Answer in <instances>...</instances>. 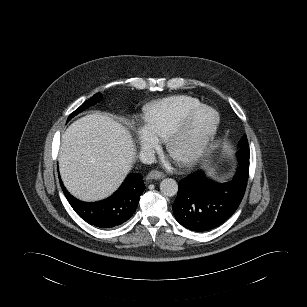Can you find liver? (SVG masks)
<instances>
[{"instance_id":"obj_1","label":"liver","mask_w":307,"mask_h":307,"mask_svg":"<svg viewBox=\"0 0 307 307\" xmlns=\"http://www.w3.org/2000/svg\"><path fill=\"white\" fill-rule=\"evenodd\" d=\"M135 147L129 131L107 114H88L62 134L59 170L67 190L83 201L110 196L129 173Z\"/></svg>"}]
</instances>
